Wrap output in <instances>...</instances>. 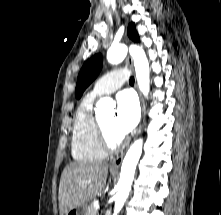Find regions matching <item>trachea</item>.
Segmentation results:
<instances>
[{"mask_svg":"<svg viewBox=\"0 0 221 215\" xmlns=\"http://www.w3.org/2000/svg\"><path fill=\"white\" fill-rule=\"evenodd\" d=\"M129 83L134 84V77H130Z\"/></svg>","mask_w":221,"mask_h":215,"instance_id":"obj_1","label":"trachea"}]
</instances>
